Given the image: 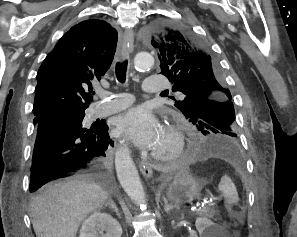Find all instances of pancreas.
<instances>
[{
  "mask_svg": "<svg viewBox=\"0 0 297 237\" xmlns=\"http://www.w3.org/2000/svg\"><path fill=\"white\" fill-rule=\"evenodd\" d=\"M219 212L212 207H204L200 212L199 215L208 218H214Z\"/></svg>",
  "mask_w": 297,
  "mask_h": 237,
  "instance_id": "pancreas-1",
  "label": "pancreas"
}]
</instances>
